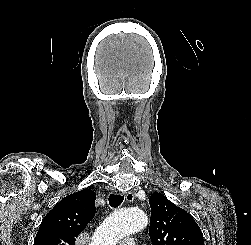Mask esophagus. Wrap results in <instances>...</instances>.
I'll use <instances>...</instances> for the list:
<instances>
[{
	"label": "esophagus",
	"mask_w": 251,
	"mask_h": 245,
	"mask_svg": "<svg viewBox=\"0 0 251 245\" xmlns=\"http://www.w3.org/2000/svg\"><path fill=\"white\" fill-rule=\"evenodd\" d=\"M125 199L127 202H132L134 200V194L129 191L125 194Z\"/></svg>",
	"instance_id": "1"
}]
</instances>
